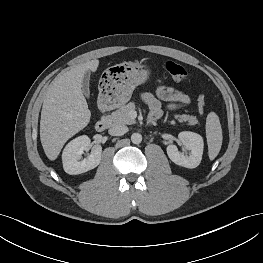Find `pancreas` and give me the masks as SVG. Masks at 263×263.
Instances as JSON below:
<instances>
[{
    "mask_svg": "<svg viewBox=\"0 0 263 263\" xmlns=\"http://www.w3.org/2000/svg\"><path fill=\"white\" fill-rule=\"evenodd\" d=\"M135 109V104L133 102L128 103L127 105L121 106L116 111L112 112L111 115L107 116L108 120L112 123V125H131L135 123V120L130 117V111ZM175 119H177L180 123L187 122L188 125L194 126L198 124V120L195 116H190L187 114L175 115ZM173 123V121H171Z\"/></svg>",
    "mask_w": 263,
    "mask_h": 263,
    "instance_id": "obj_1",
    "label": "pancreas"
}]
</instances>
